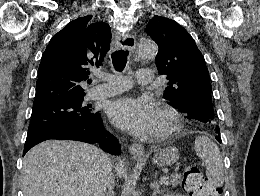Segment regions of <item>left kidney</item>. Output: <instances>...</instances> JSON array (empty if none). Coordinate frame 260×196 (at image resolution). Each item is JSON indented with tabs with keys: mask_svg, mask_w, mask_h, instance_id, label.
<instances>
[{
	"mask_svg": "<svg viewBox=\"0 0 260 196\" xmlns=\"http://www.w3.org/2000/svg\"><path fill=\"white\" fill-rule=\"evenodd\" d=\"M165 196H181V194H165Z\"/></svg>",
	"mask_w": 260,
	"mask_h": 196,
	"instance_id": "left-kidney-1",
	"label": "left kidney"
}]
</instances>
